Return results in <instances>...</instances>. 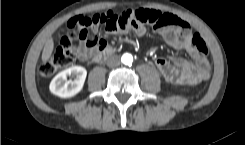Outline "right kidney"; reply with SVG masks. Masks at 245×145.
<instances>
[{"mask_svg":"<svg viewBox=\"0 0 245 145\" xmlns=\"http://www.w3.org/2000/svg\"><path fill=\"white\" fill-rule=\"evenodd\" d=\"M87 71L81 66H72L58 73L51 81L50 92L61 98H69L78 94L84 85ZM68 77L74 79L67 80Z\"/></svg>","mask_w":245,"mask_h":145,"instance_id":"ca27d5eb","label":"right kidney"}]
</instances>
